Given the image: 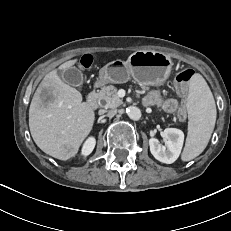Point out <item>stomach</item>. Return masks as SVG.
<instances>
[{
  "mask_svg": "<svg viewBox=\"0 0 231 231\" xmlns=\"http://www.w3.org/2000/svg\"><path fill=\"white\" fill-rule=\"evenodd\" d=\"M171 58L158 51H136L127 61L115 60L105 65L99 73L104 83H125L133 78L137 83L158 86L165 82L172 68Z\"/></svg>",
  "mask_w": 231,
  "mask_h": 231,
  "instance_id": "stomach-1",
  "label": "stomach"
}]
</instances>
